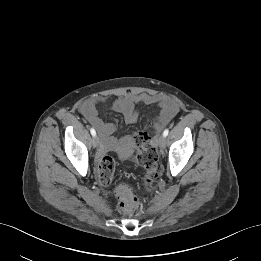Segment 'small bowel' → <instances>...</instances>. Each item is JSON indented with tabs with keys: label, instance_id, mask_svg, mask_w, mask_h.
<instances>
[{
	"label": "small bowel",
	"instance_id": "1",
	"mask_svg": "<svg viewBox=\"0 0 261 261\" xmlns=\"http://www.w3.org/2000/svg\"><path fill=\"white\" fill-rule=\"evenodd\" d=\"M104 102L105 98L101 96L89 98L81 103L80 112L105 140L106 147H110L112 142L109 137L116 132L117 126L114 122L104 121L100 117L99 106ZM139 103L159 106L161 124L167 123L178 112V103L175 99L165 95L147 93L121 95L113 101L112 110L121 114L126 123L133 124L138 120L136 106Z\"/></svg>",
	"mask_w": 261,
	"mask_h": 261
}]
</instances>
